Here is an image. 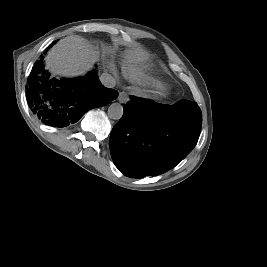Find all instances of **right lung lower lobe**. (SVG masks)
Instances as JSON below:
<instances>
[{
	"instance_id": "1",
	"label": "right lung lower lobe",
	"mask_w": 267,
	"mask_h": 267,
	"mask_svg": "<svg viewBox=\"0 0 267 267\" xmlns=\"http://www.w3.org/2000/svg\"><path fill=\"white\" fill-rule=\"evenodd\" d=\"M42 61L32 68L26 98L33 114L46 125L66 127L88 110L105 106L118 97L117 91L102 87L95 71L81 78L59 79L44 69Z\"/></svg>"
}]
</instances>
